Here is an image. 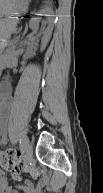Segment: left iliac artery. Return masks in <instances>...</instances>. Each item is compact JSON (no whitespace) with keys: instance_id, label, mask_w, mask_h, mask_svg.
I'll return each instance as SVG.
<instances>
[{"instance_id":"left-iliac-artery-1","label":"left iliac artery","mask_w":103,"mask_h":193,"mask_svg":"<svg viewBox=\"0 0 103 193\" xmlns=\"http://www.w3.org/2000/svg\"><path fill=\"white\" fill-rule=\"evenodd\" d=\"M27 145V141L24 138H20V146L22 148H25Z\"/></svg>"}]
</instances>
